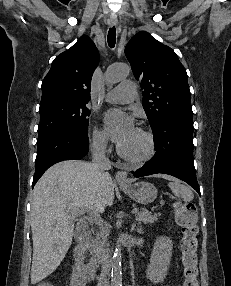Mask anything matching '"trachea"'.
Returning <instances> with one entry per match:
<instances>
[{
	"label": "trachea",
	"instance_id": "obj_1",
	"mask_svg": "<svg viewBox=\"0 0 231 286\" xmlns=\"http://www.w3.org/2000/svg\"><path fill=\"white\" fill-rule=\"evenodd\" d=\"M107 41H108L109 47L114 48L115 42H116V29H115V27H112L109 29Z\"/></svg>",
	"mask_w": 231,
	"mask_h": 286
}]
</instances>
